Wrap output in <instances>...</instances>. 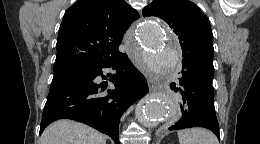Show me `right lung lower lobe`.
Wrapping results in <instances>:
<instances>
[{
    "instance_id": "obj_1",
    "label": "right lung lower lobe",
    "mask_w": 260,
    "mask_h": 144,
    "mask_svg": "<svg viewBox=\"0 0 260 144\" xmlns=\"http://www.w3.org/2000/svg\"><path fill=\"white\" fill-rule=\"evenodd\" d=\"M102 68L116 71L109 79L114 90H106L107 85L96 83L97 76L106 79ZM147 93L145 77L122 52L69 68L53 77L40 134L51 122L68 118L109 135L115 144H119V122L123 112Z\"/></svg>"
}]
</instances>
